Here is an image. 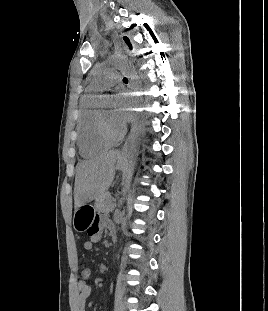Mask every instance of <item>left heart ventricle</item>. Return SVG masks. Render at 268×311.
Here are the masks:
<instances>
[{
  "mask_svg": "<svg viewBox=\"0 0 268 311\" xmlns=\"http://www.w3.org/2000/svg\"><path fill=\"white\" fill-rule=\"evenodd\" d=\"M101 112L103 113L109 127L113 131H117L121 127V125L117 122V120L114 116L113 109L110 105L103 107L101 109Z\"/></svg>",
  "mask_w": 268,
  "mask_h": 311,
  "instance_id": "1",
  "label": "left heart ventricle"
}]
</instances>
